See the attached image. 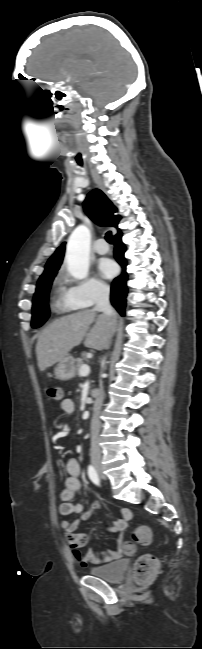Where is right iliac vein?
Returning <instances> with one entry per match:
<instances>
[{
	"label": "right iliac vein",
	"mask_w": 202,
	"mask_h": 649,
	"mask_svg": "<svg viewBox=\"0 0 202 649\" xmlns=\"http://www.w3.org/2000/svg\"><path fill=\"white\" fill-rule=\"evenodd\" d=\"M95 469L103 476V467L99 461H93ZM104 477V476H103Z\"/></svg>",
	"instance_id": "1"
}]
</instances>
